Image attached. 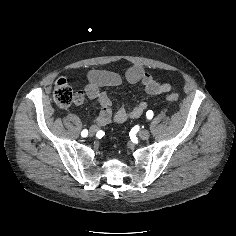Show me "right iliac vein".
<instances>
[{
  "instance_id": "63e3f726",
  "label": "right iliac vein",
  "mask_w": 236,
  "mask_h": 236,
  "mask_svg": "<svg viewBox=\"0 0 236 236\" xmlns=\"http://www.w3.org/2000/svg\"><path fill=\"white\" fill-rule=\"evenodd\" d=\"M97 127L96 126H92L91 128H90V130H89V135L90 136H94L95 134H96V132H97Z\"/></svg>"
}]
</instances>
